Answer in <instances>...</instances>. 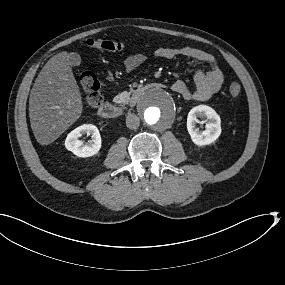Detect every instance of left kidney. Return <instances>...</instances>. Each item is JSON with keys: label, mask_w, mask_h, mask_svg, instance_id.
<instances>
[{"label": "left kidney", "mask_w": 285, "mask_h": 285, "mask_svg": "<svg viewBox=\"0 0 285 285\" xmlns=\"http://www.w3.org/2000/svg\"><path fill=\"white\" fill-rule=\"evenodd\" d=\"M198 118H206L205 130L199 132L195 129ZM187 129L191 141L196 146L212 145L221 135V119L214 109L206 105H199L191 109L187 117Z\"/></svg>", "instance_id": "left-kidney-1"}]
</instances>
